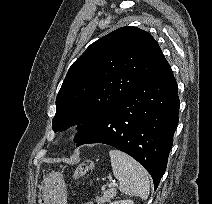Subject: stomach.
<instances>
[{
    "instance_id": "1",
    "label": "stomach",
    "mask_w": 212,
    "mask_h": 204,
    "mask_svg": "<svg viewBox=\"0 0 212 204\" xmlns=\"http://www.w3.org/2000/svg\"><path fill=\"white\" fill-rule=\"evenodd\" d=\"M67 191L60 173L46 175L40 185L39 204H66Z\"/></svg>"
}]
</instances>
